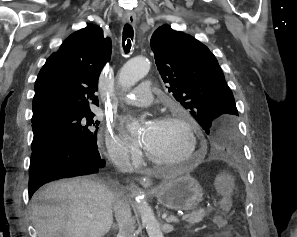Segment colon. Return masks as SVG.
<instances>
[{
	"label": "colon",
	"mask_w": 297,
	"mask_h": 237,
	"mask_svg": "<svg viewBox=\"0 0 297 237\" xmlns=\"http://www.w3.org/2000/svg\"><path fill=\"white\" fill-rule=\"evenodd\" d=\"M220 189H221V192H222V195H223L222 199H223L224 203H228L227 194H228V191H229V183H228V180L225 177L221 178V180H220ZM216 224L218 226H221V227L224 226L226 224L225 218L222 217V216H218L216 218Z\"/></svg>",
	"instance_id": "5ec220e1"
}]
</instances>
